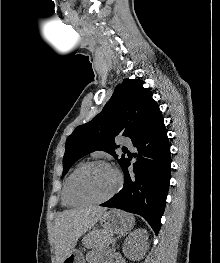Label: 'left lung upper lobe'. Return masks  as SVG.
Segmentation results:
<instances>
[{
  "instance_id": "left-lung-upper-lobe-1",
  "label": "left lung upper lobe",
  "mask_w": 220,
  "mask_h": 263,
  "mask_svg": "<svg viewBox=\"0 0 220 263\" xmlns=\"http://www.w3.org/2000/svg\"><path fill=\"white\" fill-rule=\"evenodd\" d=\"M162 117L152 92L137 79L119 84L103 110L90 122L78 126L66 141L63 175L74 162L95 150L110 153L122 167L125 156L115 153V138L124 135L132 142L140 138Z\"/></svg>"
}]
</instances>
